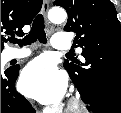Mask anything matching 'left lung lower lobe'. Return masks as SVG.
I'll return each mask as SVG.
<instances>
[{
  "instance_id": "1",
  "label": "left lung lower lobe",
  "mask_w": 121,
  "mask_h": 113,
  "mask_svg": "<svg viewBox=\"0 0 121 113\" xmlns=\"http://www.w3.org/2000/svg\"><path fill=\"white\" fill-rule=\"evenodd\" d=\"M82 99L90 104L92 113H121V99L98 88L80 92Z\"/></svg>"
}]
</instances>
